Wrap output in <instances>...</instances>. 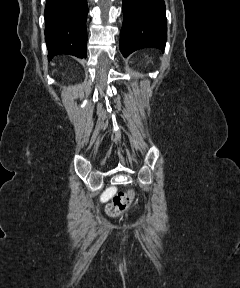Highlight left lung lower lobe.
<instances>
[{
    "label": "left lung lower lobe",
    "instance_id": "1",
    "mask_svg": "<svg viewBox=\"0 0 240 288\" xmlns=\"http://www.w3.org/2000/svg\"><path fill=\"white\" fill-rule=\"evenodd\" d=\"M119 48L124 57L141 48L164 50L167 22L164 0H123Z\"/></svg>",
    "mask_w": 240,
    "mask_h": 288
}]
</instances>
